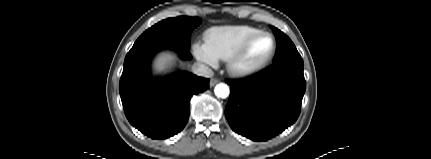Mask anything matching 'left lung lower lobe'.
Listing matches in <instances>:
<instances>
[{"instance_id":"1","label":"left lung lower lobe","mask_w":431,"mask_h":159,"mask_svg":"<svg viewBox=\"0 0 431 159\" xmlns=\"http://www.w3.org/2000/svg\"><path fill=\"white\" fill-rule=\"evenodd\" d=\"M303 62L285 61L231 87L225 108L233 131L253 141H267L295 123L306 89Z\"/></svg>"}]
</instances>
